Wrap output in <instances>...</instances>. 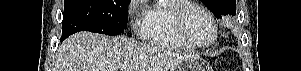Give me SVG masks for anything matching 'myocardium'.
Listing matches in <instances>:
<instances>
[{"instance_id": "obj_1", "label": "myocardium", "mask_w": 301, "mask_h": 71, "mask_svg": "<svg viewBox=\"0 0 301 71\" xmlns=\"http://www.w3.org/2000/svg\"><path fill=\"white\" fill-rule=\"evenodd\" d=\"M193 8L201 10L213 25V29H214L213 38L211 39L210 42H208L206 44H200V43L195 42L190 37V35L187 31L186 17H187L188 12ZM172 18H173V22L175 25V29H176L179 37L183 41H185L187 44H189L191 47L199 48V49H206V48H209L212 45H214L215 42L217 41L218 32H219L217 22L215 21L214 16L201 4L192 2V1H185V2L175 6L172 9Z\"/></svg>"}]
</instances>
